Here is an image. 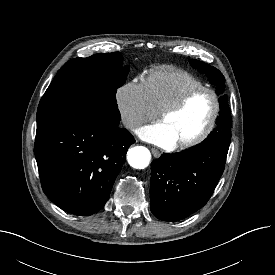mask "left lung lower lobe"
<instances>
[{
  "instance_id": "0a47b994",
  "label": "left lung lower lobe",
  "mask_w": 275,
  "mask_h": 275,
  "mask_svg": "<svg viewBox=\"0 0 275 275\" xmlns=\"http://www.w3.org/2000/svg\"><path fill=\"white\" fill-rule=\"evenodd\" d=\"M231 137L208 136L197 146L164 153L151 164L150 208L160 220L175 222L202 208L223 173Z\"/></svg>"
}]
</instances>
